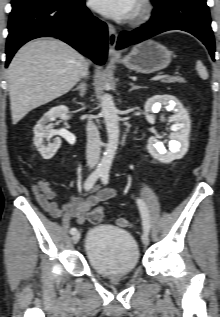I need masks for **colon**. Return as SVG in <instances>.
<instances>
[{"label": "colon", "instance_id": "5ec220e1", "mask_svg": "<svg viewBox=\"0 0 220 317\" xmlns=\"http://www.w3.org/2000/svg\"><path fill=\"white\" fill-rule=\"evenodd\" d=\"M103 220V209L101 207H96L89 213V221L92 224H99ZM118 225L122 227H127L130 225L129 221L125 218H119L117 221Z\"/></svg>", "mask_w": 220, "mask_h": 317}]
</instances>
